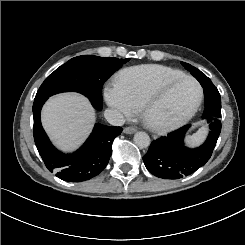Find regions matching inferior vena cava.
<instances>
[{
    "mask_svg": "<svg viewBox=\"0 0 245 245\" xmlns=\"http://www.w3.org/2000/svg\"><path fill=\"white\" fill-rule=\"evenodd\" d=\"M104 116L111 125L122 126L125 123L124 116L118 110L107 109Z\"/></svg>",
    "mask_w": 245,
    "mask_h": 245,
    "instance_id": "obj_1",
    "label": "inferior vena cava"
}]
</instances>
